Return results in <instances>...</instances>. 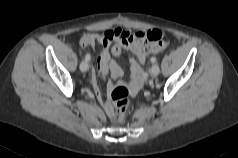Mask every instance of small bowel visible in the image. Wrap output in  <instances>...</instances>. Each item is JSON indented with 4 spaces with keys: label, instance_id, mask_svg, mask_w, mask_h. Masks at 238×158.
Here are the masks:
<instances>
[{
    "label": "small bowel",
    "instance_id": "c3829d8e",
    "mask_svg": "<svg viewBox=\"0 0 238 158\" xmlns=\"http://www.w3.org/2000/svg\"><path fill=\"white\" fill-rule=\"evenodd\" d=\"M152 33L162 35L159 30L130 32L116 28L108 30L103 34H84L80 38L79 45L81 48L96 46L101 48L97 56V69L102 77H107L111 74L113 78H118L123 75L122 67L112 59L111 53L114 56H119L125 49L132 52L136 59L130 58V71L132 75L131 90L135 92L139 88L144 75L140 63H143L149 54L154 53L152 49L153 41L148 38V35ZM110 47L111 53L109 51ZM92 82L98 98L101 99L102 96L96 81L95 71L92 73ZM109 106V103H105L104 105L107 113L109 112Z\"/></svg>",
    "mask_w": 238,
    "mask_h": 158
}]
</instances>
